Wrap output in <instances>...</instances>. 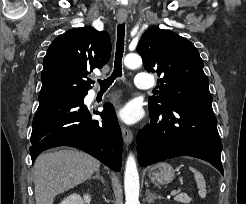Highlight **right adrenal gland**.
<instances>
[{"label": "right adrenal gland", "instance_id": "obj_1", "mask_svg": "<svg viewBox=\"0 0 246 204\" xmlns=\"http://www.w3.org/2000/svg\"><path fill=\"white\" fill-rule=\"evenodd\" d=\"M92 179H99L103 184H105L104 178L100 175V171H96V175L92 177Z\"/></svg>", "mask_w": 246, "mask_h": 204}]
</instances>
